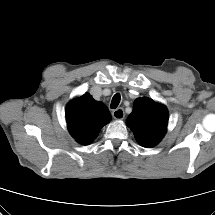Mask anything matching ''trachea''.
I'll use <instances>...</instances> for the list:
<instances>
[{
  "label": "trachea",
  "instance_id": "3493384b",
  "mask_svg": "<svg viewBox=\"0 0 215 215\" xmlns=\"http://www.w3.org/2000/svg\"><path fill=\"white\" fill-rule=\"evenodd\" d=\"M120 99H121V97H120V94H115L114 96H113V98H112V101H111V108L112 109H115V108H117V106L119 105V103H120Z\"/></svg>",
  "mask_w": 215,
  "mask_h": 215
}]
</instances>
